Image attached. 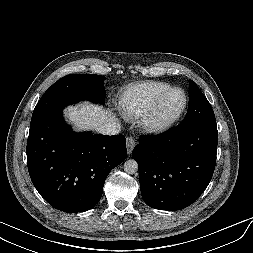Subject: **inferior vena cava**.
<instances>
[{"instance_id": "1", "label": "inferior vena cava", "mask_w": 253, "mask_h": 253, "mask_svg": "<svg viewBox=\"0 0 253 253\" xmlns=\"http://www.w3.org/2000/svg\"><path fill=\"white\" fill-rule=\"evenodd\" d=\"M120 124L116 121H109L97 127V131L104 135H116L120 132Z\"/></svg>"}]
</instances>
